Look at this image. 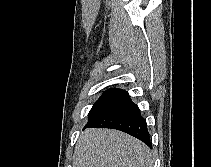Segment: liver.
I'll use <instances>...</instances> for the list:
<instances>
[{
    "mask_svg": "<svg viewBox=\"0 0 211 167\" xmlns=\"http://www.w3.org/2000/svg\"><path fill=\"white\" fill-rule=\"evenodd\" d=\"M150 149L117 130L86 129L75 146L73 167H153Z\"/></svg>",
    "mask_w": 211,
    "mask_h": 167,
    "instance_id": "obj_1",
    "label": "liver"
}]
</instances>
